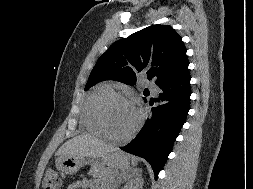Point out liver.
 <instances>
[{"mask_svg":"<svg viewBox=\"0 0 253 189\" xmlns=\"http://www.w3.org/2000/svg\"><path fill=\"white\" fill-rule=\"evenodd\" d=\"M109 152H114V149L89 134H81L66 141L56 155L100 158Z\"/></svg>","mask_w":253,"mask_h":189,"instance_id":"1","label":"liver"}]
</instances>
